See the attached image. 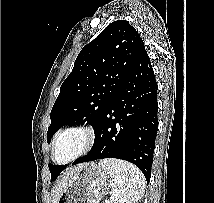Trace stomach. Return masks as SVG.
<instances>
[{
	"instance_id": "1",
	"label": "stomach",
	"mask_w": 214,
	"mask_h": 203,
	"mask_svg": "<svg viewBox=\"0 0 214 203\" xmlns=\"http://www.w3.org/2000/svg\"><path fill=\"white\" fill-rule=\"evenodd\" d=\"M113 185L107 171L94 162L85 163L72 184L60 194L57 203H99Z\"/></svg>"
}]
</instances>
